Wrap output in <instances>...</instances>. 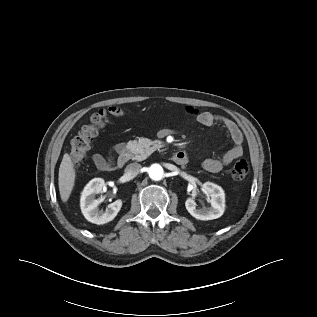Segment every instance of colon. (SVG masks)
Segmentation results:
<instances>
[{
  "instance_id": "obj_1",
  "label": "colon",
  "mask_w": 317,
  "mask_h": 317,
  "mask_svg": "<svg viewBox=\"0 0 317 317\" xmlns=\"http://www.w3.org/2000/svg\"><path fill=\"white\" fill-rule=\"evenodd\" d=\"M122 114L120 108L110 107L108 110H100L91 116L89 124L83 126L78 135L71 140L70 156L73 164L79 165L84 160L91 141L106 125L109 117H119ZM248 173L249 165L245 160L237 161L231 169V176L235 182L244 180Z\"/></svg>"
}]
</instances>
